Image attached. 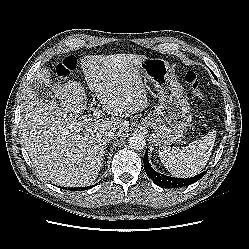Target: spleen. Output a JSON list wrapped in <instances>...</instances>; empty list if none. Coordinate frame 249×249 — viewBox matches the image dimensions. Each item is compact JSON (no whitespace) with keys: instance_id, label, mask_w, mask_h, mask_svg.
I'll return each mask as SVG.
<instances>
[{"instance_id":"3e777b00","label":"spleen","mask_w":249,"mask_h":249,"mask_svg":"<svg viewBox=\"0 0 249 249\" xmlns=\"http://www.w3.org/2000/svg\"><path fill=\"white\" fill-rule=\"evenodd\" d=\"M216 132L212 131L183 148L162 147L159 156L162 164L175 177H192L206 166L214 146Z\"/></svg>"}]
</instances>
